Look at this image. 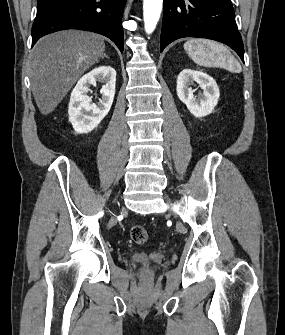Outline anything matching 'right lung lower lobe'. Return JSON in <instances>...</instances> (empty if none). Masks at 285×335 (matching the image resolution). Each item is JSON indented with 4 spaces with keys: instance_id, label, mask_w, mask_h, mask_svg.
I'll return each mask as SVG.
<instances>
[{
    "instance_id": "98d812e1",
    "label": "right lung lower lobe",
    "mask_w": 285,
    "mask_h": 335,
    "mask_svg": "<svg viewBox=\"0 0 285 335\" xmlns=\"http://www.w3.org/2000/svg\"><path fill=\"white\" fill-rule=\"evenodd\" d=\"M126 0H38L32 47L47 34L82 29L110 38L123 52L122 14Z\"/></svg>"
}]
</instances>
